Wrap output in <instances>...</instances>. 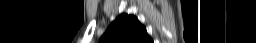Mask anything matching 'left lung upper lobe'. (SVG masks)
Wrapping results in <instances>:
<instances>
[{
	"label": "left lung upper lobe",
	"mask_w": 256,
	"mask_h": 43,
	"mask_svg": "<svg viewBox=\"0 0 256 43\" xmlns=\"http://www.w3.org/2000/svg\"><path fill=\"white\" fill-rule=\"evenodd\" d=\"M100 43H153V41L135 16L121 14L110 24Z\"/></svg>",
	"instance_id": "1"
}]
</instances>
